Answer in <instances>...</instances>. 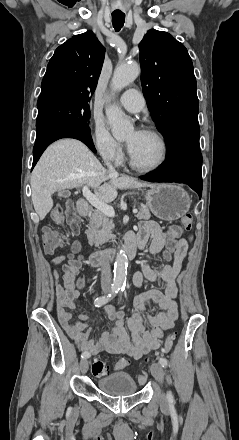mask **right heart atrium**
Segmentation results:
<instances>
[{
	"label": "right heart atrium",
	"mask_w": 239,
	"mask_h": 440,
	"mask_svg": "<svg viewBox=\"0 0 239 440\" xmlns=\"http://www.w3.org/2000/svg\"><path fill=\"white\" fill-rule=\"evenodd\" d=\"M91 140L104 160L119 162L122 146L107 132L104 126L96 122L91 132Z\"/></svg>",
	"instance_id": "1"
}]
</instances>
